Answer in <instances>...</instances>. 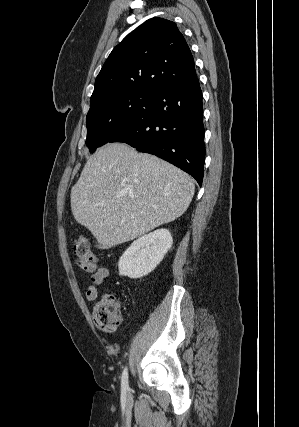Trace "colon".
<instances>
[{
	"instance_id": "1",
	"label": "colon",
	"mask_w": 299,
	"mask_h": 427,
	"mask_svg": "<svg viewBox=\"0 0 299 427\" xmlns=\"http://www.w3.org/2000/svg\"><path fill=\"white\" fill-rule=\"evenodd\" d=\"M73 253L81 266L96 263L88 238L80 235L73 244ZM93 320L96 327L105 332H114L121 323V310L117 299L112 294H106L93 307Z\"/></svg>"
}]
</instances>
